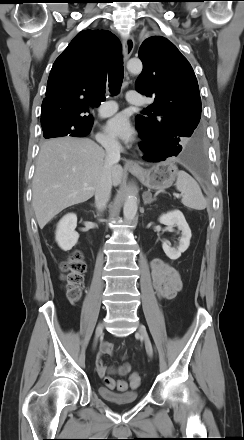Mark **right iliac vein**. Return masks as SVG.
<instances>
[{"label":"right iliac vein","mask_w":244,"mask_h":440,"mask_svg":"<svg viewBox=\"0 0 244 440\" xmlns=\"http://www.w3.org/2000/svg\"><path fill=\"white\" fill-rule=\"evenodd\" d=\"M103 333V325L102 323H99L95 330V338L93 342V348L95 349L97 347L98 339Z\"/></svg>","instance_id":"63e3f726"}]
</instances>
